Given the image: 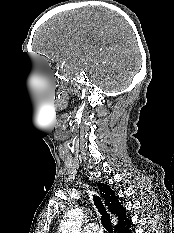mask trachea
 Masks as SVG:
<instances>
[{"instance_id":"trachea-1","label":"trachea","mask_w":174,"mask_h":233,"mask_svg":"<svg viewBox=\"0 0 174 233\" xmlns=\"http://www.w3.org/2000/svg\"><path fill=\"white\" fill-rule=\"evenodd\" d=\"M93 201H94V205L98 209V212L101 214V223H102L103 227L109 233H113L110 215L107 213L101 199L98 196L93 195Z\"/></svg>"}]
</instances>
